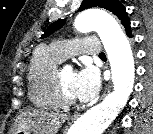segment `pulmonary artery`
<instances>
[{
  "label": "pulmonary artery",
  "mask_w": 153,
  "mask_h": 134,
  "mask_svg": "<svg viewBox=\"0 0 153 134\" xmlns=\"http://www.w3.org/2000/svg\"><path fill=\"white\" fill-rule=\"evenodd\" d=\"M49 47L61 60L79 53L99 55L102 52L101 43L96 37L56 41L51 43Z\"/></svg>",
  "instance_id": "e3ab8cb5"
}]
</instances>
